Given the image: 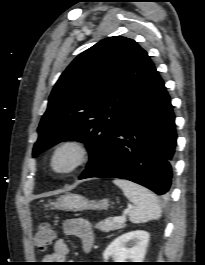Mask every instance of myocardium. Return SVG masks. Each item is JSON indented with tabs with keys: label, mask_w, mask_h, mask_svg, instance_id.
<instances>
[{
	"label": "myocardium",
	"mask_w": 205,
	"mask_h": 265,
	"mask_svg": "<svg viewBox=\"0 0 205 265\" xmlns=\"http://www.w3.org/2000/svg\"><path fill=\"white\" fill-rule=\"evenodd\" d=\"M66 149H70L74 152V160L68 167L58 169L55 166V158L61 151ZM90 157L91 150L86 142L77 138H69L57 143L51 149L47 159V166L50 172L55 175L68 176L83 167L89 161Z\"/></svg>",
	"instance_id": "myocardium-1"
}]
</instances>
